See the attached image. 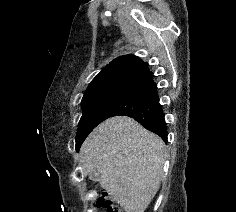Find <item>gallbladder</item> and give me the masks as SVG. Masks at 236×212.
Listing matches in <instances>:
<instances>
[{
    "mask_svg": "<svg viewBox=\"0 0 236 212\" xmlns=\"http://www.w3.org/2000/svg\"><path fill=\"white\" fill-rule=\"evenodd\" d=\"M89 177L93 181H98L100 178V174L96 170H94L89 174Z\"/></svg>",
    "mask_w": 236,
    "mask_h": 212,
    "instance_id": "gallbladder-1",
    "label": "gallbladder"
}]
</instances>
